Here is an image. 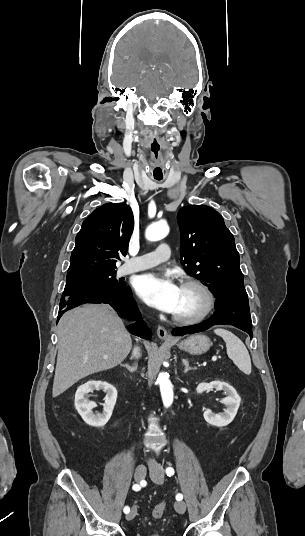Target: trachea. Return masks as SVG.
<instances>
[{"mask_svg": "<svg viewBox=\"0 0 305 536\" xmlns=\"http://www.w3.org/2000/svg\"><path fill=\"white\" fill-rule=\"evenodd\" d=\"M155 180H158V181H160V180H162V178H157V177H155Z\"/></svg>", "mask_w": 305, "mask_h": 536, "instance_id": "3493384b", "label": "trachea"}]
</instances>
